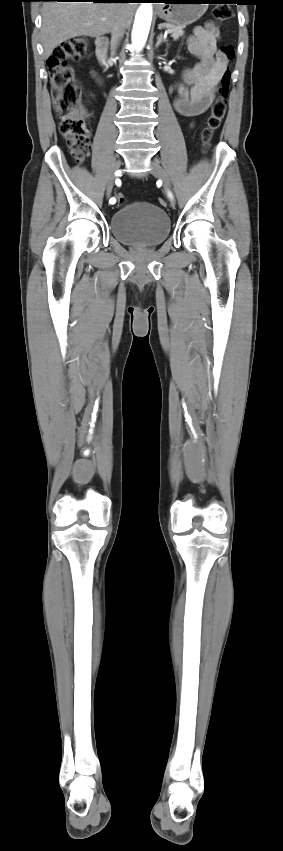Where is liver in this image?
I'll use <instances>...</instances> for the list:
<instances>
[{
	"label": "liver",
	"instance_id": "1",
	"mask_svg": "<svg viewBox=\"0 0 283 851\" xmlns=\"http://www.w3.org/2000/svg\"><path fill=\"white\" fill-rule=\"evenodd\" d=\"M136 6L122 2H46L42 9L41 40L48 59L62 42L78 36L110 33L123 20L130 27ZM105 18V20H102Z\"/></svg>",
	"mask_w": 283,
	"mask_h": 851
}]
</instances>
